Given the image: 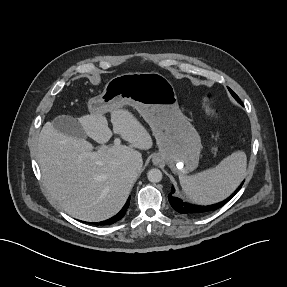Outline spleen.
Returning a JSON list of instances; mask_svg holds the SVG:
<instances>
[{
  "label": "spleen",
  "instance_id": "3e777b00",
  "mask_svg": "<svg viewBox=\"0 0 287 287\" xmlns=\"http://www.w3.org/2000/svg\"><path fill=\"white\" fill-rule=\"evenodd\" d=\"M247 157L237 151L224 158L216 167L194 175H179L184 193L195 203L209 205L227 198L246 175Z\"/></svg>",
  "mask_w": 287,
  "mask_h": 287
}]
</instances>
